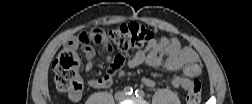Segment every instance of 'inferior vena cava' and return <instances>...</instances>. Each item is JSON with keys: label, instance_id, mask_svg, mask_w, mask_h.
I'll use <instances>...</instances> for the list:
<instances>
[{"label": "inferior vena cava", "instance_id": "obj_1", "mask_svg": "<svg viewBox=\"0 0 252 104\" xmlns=\"http://www.w3.org/2000/svg\"><path fill=\"white\" fill-rule=\"evenodd\" d=\"M115 97H116V99H118V100H122L123 97H124V93L121 92V91H119V92L116 93Z\"/></svg>", "mask_w": 252, "mask_h": 104}]
</instances>
